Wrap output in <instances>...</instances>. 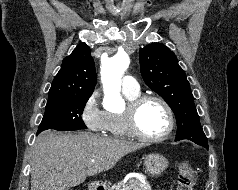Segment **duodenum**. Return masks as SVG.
Instances as JSON below:
<instances>
[{"instance_id":"obj_1","label":"duodenum","mask_w":238,"mask_h":190,"mask_svg":"<svg viewBox=\"0 0 238 190\" xmlns=\"http://www.w3.org/2000/svg\"><path fill=\"white\" fill-rule=\"evenodd\" d=\"M90 190H104V186L101 183L94 182L90 185Z\"/></svg>"}]
</instances>
